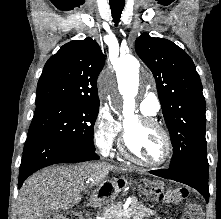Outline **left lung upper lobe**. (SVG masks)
<instances>
[{
	"label": "left lung upper lobe",
	"mask_w": 221,
	"mask_h": 219,
	"mask_svg": "<svg viewBox=\"0 0 221 219\" xmlns=\"http://www.w3.org/2000/svg\"><path fill=\"white\" fill-rule=\"evenodd\" d=\"M135 50L156 80L158 96L173 146L171 168L193 156L207 155L202 84L192 59L164 38L143 33Z\"/></svg>",
	"instance_id": "5c2ea615"
}]
</instances>
